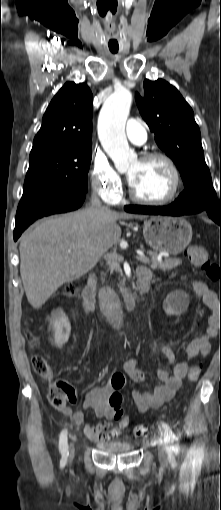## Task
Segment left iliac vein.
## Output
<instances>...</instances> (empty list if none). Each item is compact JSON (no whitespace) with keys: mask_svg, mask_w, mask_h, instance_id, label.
<instances>
[{"mask_svg":"<svg viewBox=\"0 0 221 510\" xmlns=\"http://www.w3.org/2000/svg\"><path fill=\"white\" fill-rule=\"evenodd\" d=\"M158 455H159V460H160L161 464L166 465L168 462L167 444L166 443H163L159 446Z\"/></svg>","mask_w":221,"mask_h":510,"instance_id":"obj_1","label":"left iliac vein"}]
</instances>
